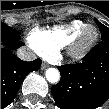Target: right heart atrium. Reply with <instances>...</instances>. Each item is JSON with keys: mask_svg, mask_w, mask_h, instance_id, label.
<instances>
[{"mask_svg": "<svg viewBox=\"0 0 109 109\" xmlns=\"http://www.w3.org/2000/svg\"><path fill=\"white\" fill-rule=\"evenodd\" d=\"M28 42H29L30 47H31L37 54L41 55V52L39 51V49L37 48V46H36L33 42H31V41H28Z\"/></svg>", "mask_w": 109, "mask_h": 109, "instance_id": "obj_1", "label": "right heart atrium"}]
</instances>
